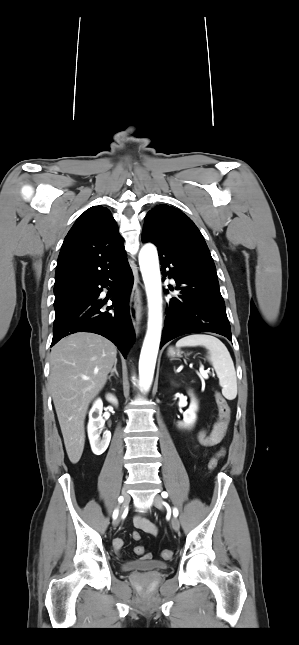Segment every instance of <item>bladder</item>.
I'll return each mask as SVG.
<instances>
[{
    "mask_svg": "<svg viewBox=\"0 0 299 645\" xmlns=\"http://www.w3.org/2000/svg\"><path fill=\"white\" fill-rule=\"evenodd\" d=\"M168 568L169 565L166 562L156 559L129 561L121 565V569L124 572H151L166 570Z\"/></svg>",
    "mask_w": 299,
    "mask_h": 645,
    "instance_id": "1",
    "label": "bladder"
}]
</instances>
